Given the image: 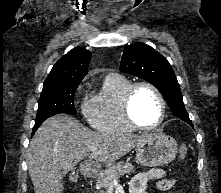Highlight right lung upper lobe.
I'll list each match as a JSON object with an SVG mask.
<instances>
[{
  "instance_id": "1",
  "label": "right lung upper lobe",
  "mask_w": 221,
  "mask_h": 193,
  "mask_svg": "<svg viewBox=\"0 0 221 193\" xmlns=\"http://www.w3.org/2000/svg\"><path fill=\"white\" fill-rule=\"evenodd\" d=\"M91 52L76 47L61 57L44 82L43 89L78 86L87 74Z\"/></svg>"
}]
</instances>
